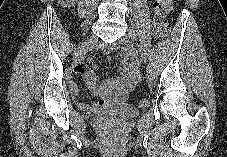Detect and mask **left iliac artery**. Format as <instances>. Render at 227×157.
Returning a JSON list of instances; mask_svg holds the SVG:
<instances>
[{
    "instance_id": "obj_1",
    "label": "left iliac artery",
    "mask_w": 227,
    "mask_h": 157,
    "mask_svg": "<svg viewBox=\"0 0 227 157\" xmlns=\"http://www.w3.org/2000/svg\"><path fill=\"white\" fill-rule=\"evenodd\" d=\"M133 36L136 37L137 41H139V43H140V50H141L142 54L144 55V57H148L149 49L144 44V40L142 39L141 34H138L137 32H134L133 33Z\"/></svg>"
}]
</instances>
